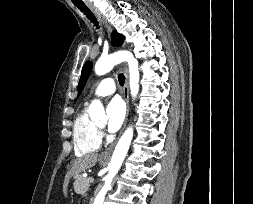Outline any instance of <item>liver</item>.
<instances>
[{
    "label": "liver",
    "instance_id": "1",
    "mask_svg": "<svg viewBox=\"0 0 253 204\" xmlns=\"http://www.w3.org/2000/svg\"><path fill=\"white\" fill-rule=\"evenodd\" d=\"M97 159H98L97 153L87 154L80 158L75 159L73 161L71 170L66 174L64 185H63L64 192H66L67 190V184L69 182V179L72 176L78 175L80 172L93 167L96 164Z\"/></svg>",
    "mask_w": 253,
    "mask_h": 204
}]
</instances>
